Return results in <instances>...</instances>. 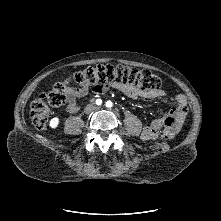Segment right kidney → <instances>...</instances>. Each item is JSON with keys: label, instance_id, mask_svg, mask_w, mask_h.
<instances>
[{"label": "right kidney", "instance_id": "right-kidney-1", "mask_svg": "<svg viewBox=\"0 0 221 221\" xmlns=\"http://www.w3.org/2000/svg\"><path fill=\"white\" fill-rule=\"evenodd\" d=\"M59 122H60L59 118H58V117H54V118H52V119L50 120L49 126H50L52 129H56V128L58 127V125H59Z\"/></svg>", "mask_w": 221, "mask_h": 221}]
</instances>
